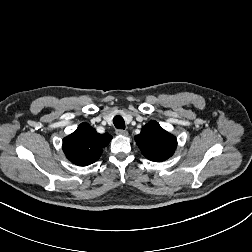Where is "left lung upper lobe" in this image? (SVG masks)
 Segmentation results:
<instances>
[{
  "label": "left lung upper lobe",
  "mask_w": 252,
  "mask_h": 252,
  "mask_svg": "<svg viewBox=\"0 0 252 252\" xmlns=\"http://www.w3.org/2000/svg\"><path fill=\"white\" fill-rule=\"evenodd\" d=\"M135 141L142 154L151 161L168 159L177 146L176 138L153 120L143 126Z\"/></svg>",
  "instance_id": "5c2ea615"
}]
</instances>
